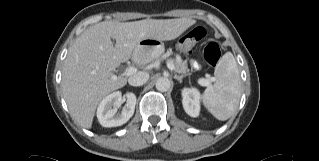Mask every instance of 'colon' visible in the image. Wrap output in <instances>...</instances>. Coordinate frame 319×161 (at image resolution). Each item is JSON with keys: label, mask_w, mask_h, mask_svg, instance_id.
Wrapping results in <instances>:
<instances>
[{"label": "colon", "mask_w": 319, "mask_h": 161, "mask_svg": "<svg viewBox=\"0 0 319 161\" xmlns=\"http://www.w3.org/2000/svg\"><path fill=\"white\" fill-rule=\"evenodd\" d=\"M205 36L206 30L202 26H196L180 39L179 47L183 51H188ZM203 58L208 64L216 65L221 59L220 45L216 41H209L203 50Z\"/></svg>", "instance_id": "1"}]
</instances>
